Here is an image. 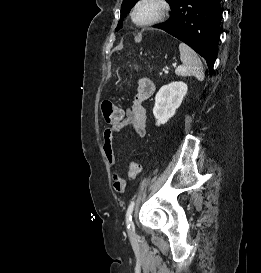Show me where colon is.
<instances>
[{
  "label": "colon",
  "mask_w": 261,
  "mask_h": 273,
  "mask_svg": "<svg viewBox=\"0 0 261 273\" xmlns=\"http://www.w3.org/2000/svg\"><path fill=\"white\" fill-rule=\"evenodd\" d=\"M103 117L108 124H115L121 118V109L114 104L112 101H104L101 105ZM141 171V165L137 161H131L128 165L126 177L129 180H134ZM125 179L118 180L116 183V188L119 191H123L125 188Z\"/></svg>",
  "instance_id": "colon-1"
}]
</instances>
